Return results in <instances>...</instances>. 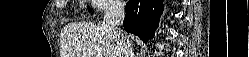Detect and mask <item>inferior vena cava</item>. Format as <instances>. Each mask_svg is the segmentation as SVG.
I'll return each mask as SVG.
<instances>
[{
	"mask_svg": "<svg viewBox=\"0 0 249 57\" xmlns=\"http://www.w3.org/2000/svg\"><path fill=\"white\" fill-rule=\"evenodd\" d=\"M125 17V2L122 0H116L110 4L105 10L103 17V26L110 31L118 40L119 49L122 53V57H134L133 50L129 40L124 37L120 26L123 23Z\"/></svg>",
	"mask_w": 249,
	"mask_h": 57,
	"instance_id": "602c4592",
	"label": "inferior vena cava"
}]
</instances>
